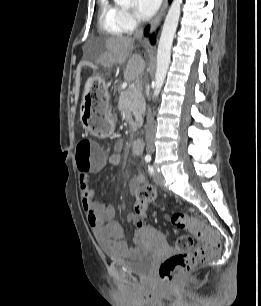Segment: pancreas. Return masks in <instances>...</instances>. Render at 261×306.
<instances>
[{"label":"pancreas","instance_id":"pancreas-1","mask_svg":"<svg viewBox=\"0 0 261 306\" xmlns=\"http://www.w3.org/2000/svg\"><path fill=\"white\" fill-rule=\"evenodd\" d=\"M118 108L125 113H132L135 117V125L142 124V116L145 113V99L140 90L136 94L128 87L121 92L118 101Z\"/></svg>","mask_w":261,"mask_h":306}]
</instances>
